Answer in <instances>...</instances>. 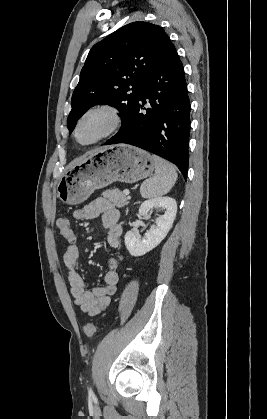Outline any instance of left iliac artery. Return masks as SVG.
Listing matches in <instances>:
<instances>
[{
	"label": "left iliac artery",
	"mask_w": 267,
	"mask_h": 419,
	"mask_svg": "<svg viewBox=\"0 0 267 419\" xmlns=\"http://www.w3.org/2000/svg\"><path fill=\"white\" fill-rule=\"evenodd\" d=\"M88 394H89V396H94L93 391H92L91 388H89Z\"/></svg>",
	"instance_id": "1"
}]
</instances>
